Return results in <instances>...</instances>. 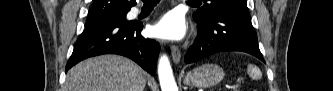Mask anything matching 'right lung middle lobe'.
Wrapping results in <instances>:
<instances>
[{
	"label": "right lung middle lobe",
	"mask_w": 333,
	"mask_h": 91,
	"mask_svg": "<svg viewBox=\"0 0 333 91\" xmlns=\"http://www.w3.org/2000/svg\"><path fill=\"white\" fill-rule=\"evenodd\" d=\"M127 12H128V11H127ZM127 12L118 13V14H115V15H113V16L106 17V18H125Z\"/></svg>",
	"instance_id": "right-lung-middle-lobe-1"
}]
</instances>
